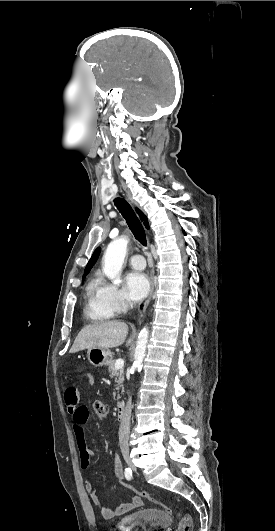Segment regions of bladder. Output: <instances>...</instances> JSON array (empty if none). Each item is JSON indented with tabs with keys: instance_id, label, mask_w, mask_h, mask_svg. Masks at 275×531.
I'll list each match as a JSON object with an SVG mask.
<instances>
[{
	"instance_id": "bladder-1",
	"label": "bladder",
	"mask_w": 275,
	"mask_h": 531,
	"mask_svg": "<svg viewBox=\"0 0 275 531\" xmlns=\"http://www.w3.org/2000/svg\"><path fill=\"white\" fill-rule=\"evenodd\" d=\"M169 513L155 507H143L123 515L109 531H167Z\"/></svg>"
}]
</instances>
